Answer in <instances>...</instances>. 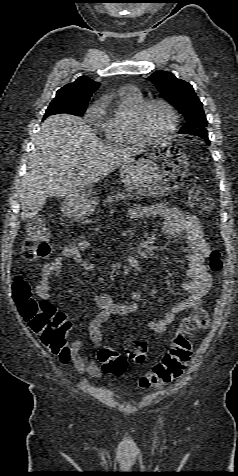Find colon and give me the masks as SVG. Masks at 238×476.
Instances as JSON below:
<instances>
[{
    "mask_svg": "<svg viewBox=\"0 0 238 476\" xmlns=\"http://www.w3.org/2000/svg\"><path fill=\"white\" fill-rule=\"evenodd\" d=\"M189 206L201 215L210 213L214 208L212 198L198 186L188 190ZM49 232L41 219H33L28 224L27 238L22 246L23 259L32 261L45 258L50 253L48 245ZM224 265L221 251L212 250L208 266L211 271L219 272ZM14 300L22 318L37 335L39 341L52 353L65 355L68 351V338L71 325L55 306L44 300H38L28 282L17 277L12 285ZM210 317L203 306L195 307L184 318L182 325L176 331L168 352L149 372L140 379L143 388L158 387L168 384L180 377L191 358L194 335L208 329ZM148 348L144 341L128 339L123 344V352L103 347L98 352V359L105 372L120 376L127 369L128 360L142 362L147 356Z\"/></svg>",
    "mask_w": 238,
    "mask_h": 476,
    "instance_id": "obj_1",
    "label": "colon"
}]
</instances>
